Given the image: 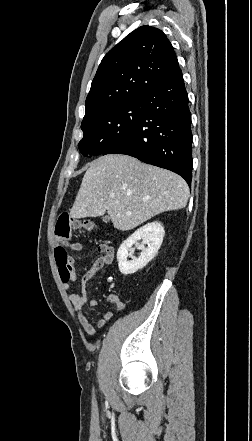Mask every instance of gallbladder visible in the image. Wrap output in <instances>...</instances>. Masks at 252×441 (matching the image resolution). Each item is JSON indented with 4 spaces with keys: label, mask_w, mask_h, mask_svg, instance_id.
<instances>
[{
    "label": "gallbladder",
    "mask_w": 252,
    "mask_h": 441,
    "mask_svg": "<svg viewBox=\"0 0 252 441\" xmlns=\"http://www.w3.org/2000/svg\"><path fill=\"white\" fill-rule=\"evenodd\" d=\"M103 221H104V222H108V221H109V217H108V216H104V217H103Z\"/></svg>",
    "instance_id": "obj_1"
}]
</instances>
